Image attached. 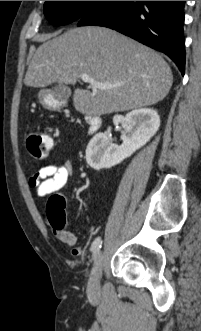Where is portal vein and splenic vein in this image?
<instances>
[{
	"mask_svg": "<svg viewBox=\"0 0 201 331\" xmlns=\"http://www.w3.org/2000/svg\"><path fill=\"white\" fill-rule=\"evenodd\" d=\"M80 79L83 82L90 84V86L94 89L95 88H98V89H112V88L120 87L124 84V83L108 84V83L98 82L95 79L89 77L87 74L80 75Z\"/></svg>",
	"mask_w": 201,
	"mask_h": 331,
	"instance_id": "portal-vein-and-splenic-vein-1",
	"label": "portal vein and splenic vein"
}]
</instances>
